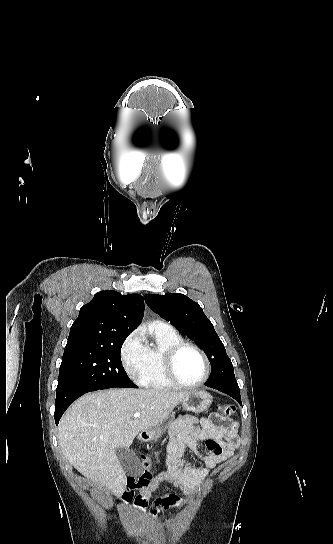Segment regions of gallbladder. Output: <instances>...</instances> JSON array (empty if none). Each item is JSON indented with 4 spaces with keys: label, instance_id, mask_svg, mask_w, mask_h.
Returning a JSON list of instances; mask_svg holds the SVG:
<instances>
[{
    "label": "gallbladder",
    "instance_id": "gallbladder-1",
    "mask_svg": "<svg viewBox=\"0 0 333 544\" xmlns=\"http://www.w3.org/2000/svg\"><path fill=\"white\" fill-rule=\"evenodd\" d=\"M116 456L127 475H138L141 471V465L135 453L126 447H117Z\"/></svg>",
    "mask_w": 333,
    "mask_h": 544
}]
</instances>
